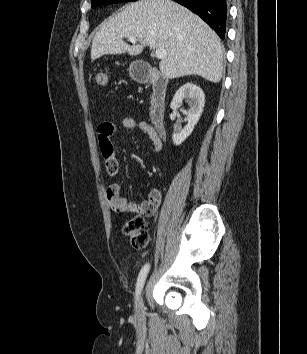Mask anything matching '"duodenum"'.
<instances>
[{
	"label": "duodenum",
	"instance_id": "duodenum-1",
	"mask_svg": "<svg viewBox=\"0 0 307 354\" xmlns=\"http://www.w3.org/2000/svg\"><path fill=\"white\" fill-rule=\"evenodd\" d=\"M135 80L139 83H148L152 86L150 97L149 116L161 137L166 136V92L168 81L156 69L150 66L139 67L134 72Z\"/></svg>",
	"mask_w": 307,
	"mask_h": 354
}]
</instances>
